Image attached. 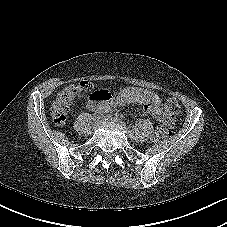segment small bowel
Returning <instances> with one entry per match:
<instances>
[{"label":"small bowel","mask_w":227,"mask_h":227,"mask_svg":"<svg viewBox=\"0 0 227 227\" xmlns=\"http://www.w3.org/2000/svg\"><path fill=\"white\" fill-rule=\"evenodd\" d=\"M116 103L118 105L141 104L144 110L151 114L159 123L172 125V121L168 120L163 111L159 97L151 91L136 87L125 88L117 95Z\"/></svg>","instance_id":"1"}]
</instances>
